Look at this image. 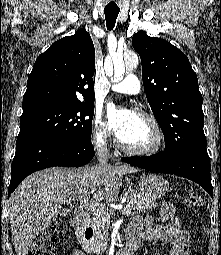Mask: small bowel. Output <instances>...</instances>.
<instances>
[{
	"label": "small bowel",
	"mask_w": 221,
	"mask_h": 255,
	"mask_svg": "<svg viewBox=\"0 0 221 255\" xmlns=\"http://www.w3.org/2000/svg\"><path fill=\"white\" fill-rule=\"evenodd\" d=\"M175 209L172 203H164L161 209V218L166 221L165 225H156L152 216L144 220L135 217L128 227V237L138 238L153 245L167 242L172 245L169 255H189V234L185 231L181 222L174 216ZM72 255H85L76 250Z\"/></svg>",
	"instance_id": "small-bowel-1"
}]
</instances>
